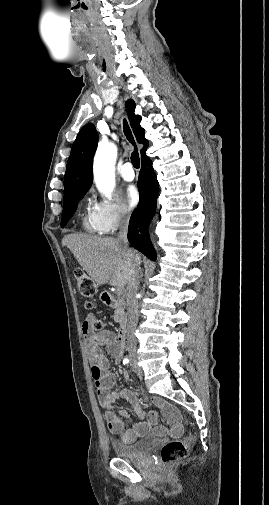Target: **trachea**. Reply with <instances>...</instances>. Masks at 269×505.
Masks as SVG:
<instances>
[{
    "label": "trachea",
    "mask_w": 269,
    "mask_h": 505,
    "mask_svg": "<svg viewBox=\"0 0 269 505\" xmlns=\"http://www.w3.org/2000/svg\"><path fill=\"white\" fill-rule=\"evenodd\" d=\"M123 128H124L125 136L129 140V142L134 146V151L132 152V155H131V162L135 168H139L140 167L139 153H138L137 146H136L134 137L132 135L131 129H130L126 119H124V121H123Z\"/></svg>",
    "instance_id": "1"
}]
</instances>
